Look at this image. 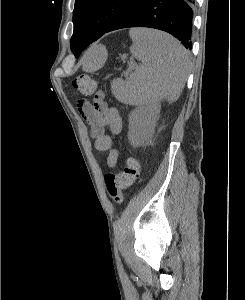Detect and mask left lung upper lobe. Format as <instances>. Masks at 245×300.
Returning <instances> with one entry per match:
<instances>
[{"label":"left lung upper lobe","mask_w":245,"mask_h":300,"mask_svg":"<svg viewBox=\"0 0 245 300\" xmlns=\"http://www.w3.org/2000/svg\"><path fill=\"white\" fill-rule=\"evenodd\" d=\"M134 1L75 0L74 33L71 38V50L74 55L84 41L94 36L103 35L115 19Z\"/></svg>","instance_id":"obj_1"}]
</instances>
